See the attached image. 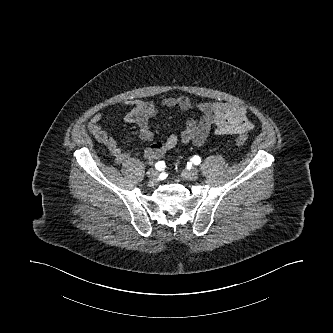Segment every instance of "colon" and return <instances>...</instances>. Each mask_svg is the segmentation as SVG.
I'll return each instance as SVG.
<instances>
[{
    "label": "colon",
    "mask_w": 333,
    "mask_h": 333,
    "mask_svg": "<svg viewBox=\"0 0 333 333\" xmlns=\"http://www.w3.org/2000/svg\"><path fill=\"white\" fill-rule=\"evenodd\" d=\"M247 142V137L244 135H240L236 138L235 143L237 146H243Z\"/></svg>",
    "instance_id": "1"
}]
</instances>
